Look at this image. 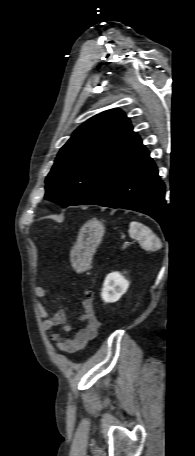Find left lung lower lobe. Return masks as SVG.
I'll return each instance as SVG.
<instances>
[{
	"label": "left lung lower lobe",
	"mask_w": 195,
	"mask_h": 456,
	"mask_svg": "<svg viewBox=\"0 0 195 456\" xmlns=\"http://www.w3.org/2000/svg\"><path fill=\"white\" fill-rule=\"evenodd\" d=\"M164 195L157 167L137 135L103 185L83 204L138 211L163 226Z\"/></svg>",
	"instance_id": "0a47b994"
}]
</instances>
